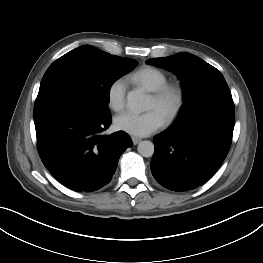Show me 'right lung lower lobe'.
<instances>
[{"instance_id":"obj_1","label":"right lung lower lobe","mask_w":263,"mask_h":263,"mask_svg":"<svg viewBox=\"0 0 263 263\" xmlns=\"http://www.w3.org/2000/svg\"><path fill=\"white\" fill-rule=\"evenodd\" d=\"M39 155L47 170L77 192L96 191L108 184L121 154L133 145L123 131L102 135L111 116L95 117L57 111L34 118Z\"/></svg>"}]
</instances>
